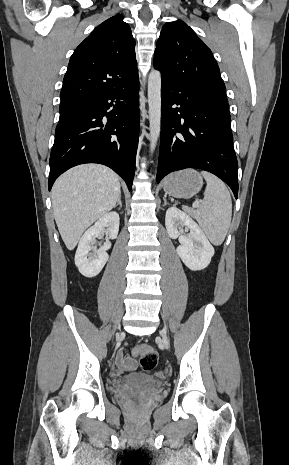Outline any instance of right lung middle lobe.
Masks as SVG:
<instances>
[{
  "label": "right lung middle lobe",
  "mask_w": 289,
  "mask_h": 465,
  "mask_svg": "<svg viewBox=\"0 0 289 465\" xmlns=\"http://www.w3.org/2000/svg\"><path fill=\"white\" fill-rule=\"evenodd\" d=\"M84 111H85V102H77V103H72V104H67V105H61L59 123L66 122Z\"/></svg>",
  "instance_id": "1"
}]
</instances>
